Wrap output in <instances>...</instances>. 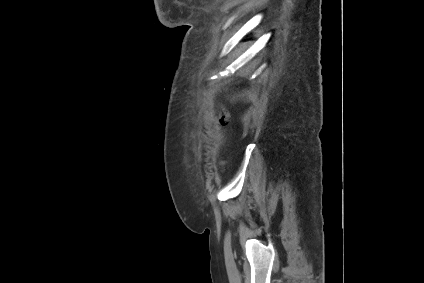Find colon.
<instances>
[{
    "instance_id": "5ec220e1",
    "label": "colon",
    "mask_w": 424,
    "mask_h": 283,
    "mask_svg": "<svg viewBox=\"0 0 424 283\" xmlns=\"http://www.w3.org/2000/svg\"><path fill=\"white\" fill-rule=\"evenodd\" d=\"M227 122H228V117H227V115H226L225 113H221V114L219 115V124H220L221 126H224V125H226V124H227Z\"/></svg>"
}]
</instances>
